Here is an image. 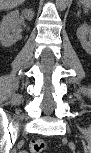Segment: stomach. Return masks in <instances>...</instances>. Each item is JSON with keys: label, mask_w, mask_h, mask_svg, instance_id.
Wrapping results in <instances>:
<instances>
[{"label": "stomach", "mask_w": 91, "mask_h": 153, "mask_svg": "<svg viewBox=\"0 0 91 153\" xmlns=\"http://www.w3.org/2000/svg\"><path fill=\"white\" fill-rule=\"evenodd\" d=\"M83 3H84L85 5H89V4H90V1H89V0L83 1Z\"/></svg>", "instance_id": "0dacf381"}]
</instances>
